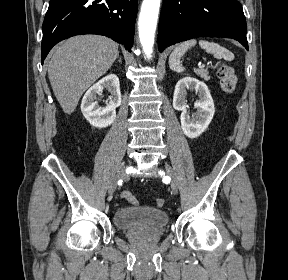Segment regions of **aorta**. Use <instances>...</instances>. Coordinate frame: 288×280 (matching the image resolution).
<instances>
[{
  "mask_svg": "<svg viewBox=\"0 0 288 280\" xmlns=\"http://www.w3.org/2000/svg\"><path fill=\"white\" fill-rule=\"evenodd\" d=\"M161 0H143L138 21L139 39L148 58L153 51Z\"/></svg>",
  "mask_w": 288,
  "mask_h": 280,
  "instance_id": "762f6f07",
  "label": "aorta"
}]
</instances>
